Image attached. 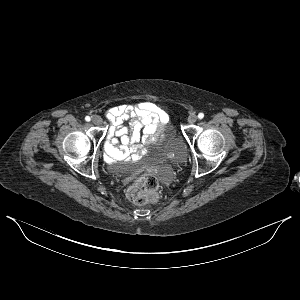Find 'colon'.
Here are the masks:
<instances>
[{"label": "colon", "mask_w": 300, "mask_h": 300, "mask_svg": "<svg viewBox=\"0 0 300 300\" xmlns=\"http://www.w3.org/2000/svg\"><path fill=\"white\" fill-rule=\"evenodd\" d=\"M159 188L158 179L154 175L145 174L128 188L127 197L135 204H154L158 201Z\"/></svg>", "instance_id": "colon-1"}]
</instances>
